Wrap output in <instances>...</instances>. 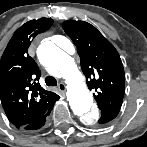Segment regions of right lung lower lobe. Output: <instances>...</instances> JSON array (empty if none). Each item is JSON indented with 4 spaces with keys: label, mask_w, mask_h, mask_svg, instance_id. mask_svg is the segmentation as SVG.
<instances>
[{
    "label": "right lung lower lobe",
    "mask_w": 147,
    "mask_h": 147,
    "mask_svg": "<svg viewBox=\"0 0 147 147\" xmlns=\"http://www.w3.org/2000/svg\"><path fill=\"white\" fill-rule=\"evenodd\" d=\"M51 110H52V108L50 110H48V112L46 114H44L43 116H41L40 118H38V119L34 120L33 122L23 126L22 129H25V130L40 129L45 124L46 117L49 116Z\"/></svg>",
    "instance_id": "right-lung-lower-lobe-1"
}]
</instances>
